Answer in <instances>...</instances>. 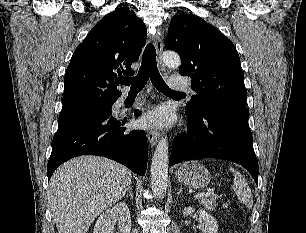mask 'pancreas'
<instances>
[{"mask_svg":"<svg viewBox=\"0 0 306 233\" xmlns=\"http://www.w3.org/2000/svg\"><path fill=\"white\" fill-rule=\"evenodd\" d=\"M199 203L209 210H214L217 205L213 198H199Z\"/></svg>","mask_w":306,"mask_h":233,"instance_id":"1","label":"pancreas"}]
</instances>
